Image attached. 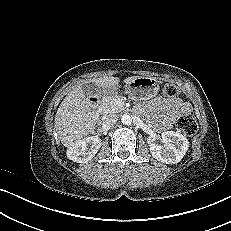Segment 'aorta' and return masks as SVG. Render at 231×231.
<instances>
[{
  "mask_svg": "<svg viewBox=\"0 0 231 231\" xmlns=\"http://www.w3.org/2000/svg\"><path fill=\"white\" fill-rule=\"evenodd\" d=\"M121 122H122L124 125H130L131 122H132V118H131L130 115L124 114V115H122V117H121Z\"/></svg>",
  "mask_w": 231,
  "mask_h": 231,
  "instance_id": "762f6f07",
  "label": "aorta"
}]
</instances>
